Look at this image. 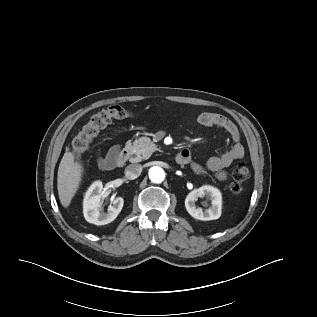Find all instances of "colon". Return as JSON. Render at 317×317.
Masks as SVG:
<instances>
[{"instance_id":"obj_1","label":"colon","mask_w":317,"mask_h":317,"mask_svg":"<svg viewBox=\"0 0 317 317\" xmlns=\"http://www.w3.org/2000/svg\"><path fill=\"white\" fill-rule=\"evenodd\" d=\"M132 113L119 105H112L94 113L89 121L82 126L77 135L72 140V150L75 155L85 152L93 138L104 129L113 119H121L131 116ZM250 171L245 162L237 163L232 169V181L230 190L235 195L242 191V184L249 177Z\"/></svg>"}]
</instances>
